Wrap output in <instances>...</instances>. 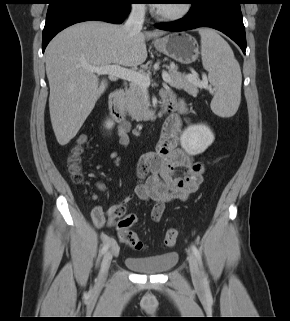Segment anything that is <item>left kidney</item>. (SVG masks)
<instances>
[{
  "instance_id": "1",
  "label": "left kidney",
  "mask_w": 290,
  "mask_h": 321,
  "mask_svg": "<svg viewBox=\"0 0 290 321\" xmlns=\"http://www.w3.org/2000/svg\"><path fill=\"white\" fill-rule=\"evenodd\" d=\"M215 137L210 128L203 124L187 127L180 136L181 147L189 155L203 153L214 141Z\"/></svg>"
}]
</instances>
